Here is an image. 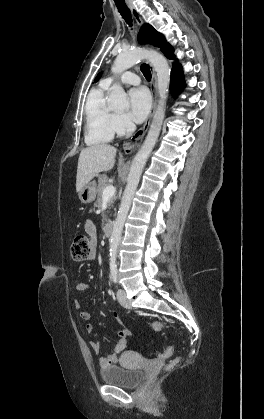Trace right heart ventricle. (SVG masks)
Masks as SVG:
<instances>
[{
  "label": "right heart ventricle",
  "mask_w": 264,
  "mask_h": 419,
  "mask_svg": "<svg viewBox=\"0 0 264 419\" xmlns=\"http://www.w3.org/2000/svg\"><path fill=\"white\" fill-rule=\"evenodd\" d=\"M108 86L103 82L92 89L85 106V142L98 145L111 141L114 136L113 111L106 104Z\"/></svg>",
  "instance_id": "1"
}]
</instances>
